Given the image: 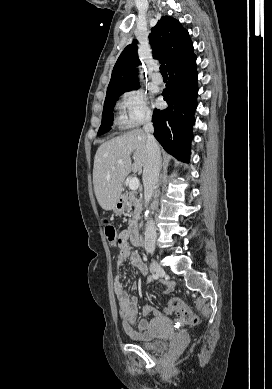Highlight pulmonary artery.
<instances>
[{
	"instance_id": "e3ab8cb5",
	"label": "pulmonary artery",
	"mask_w": 272,
	"mask_h": 389,
	"mask_svg": "<svg viewBox=\"0 0 272 389\" xmlns=\"http://www.w3.org/2000/svg\"><path fill=\"white\" fill-rule=\"evenodd\" d=\"M152 81L155 84H161L162 83V76L159 73H154L152 75Z\"/></svg>"
}]
</instances>
